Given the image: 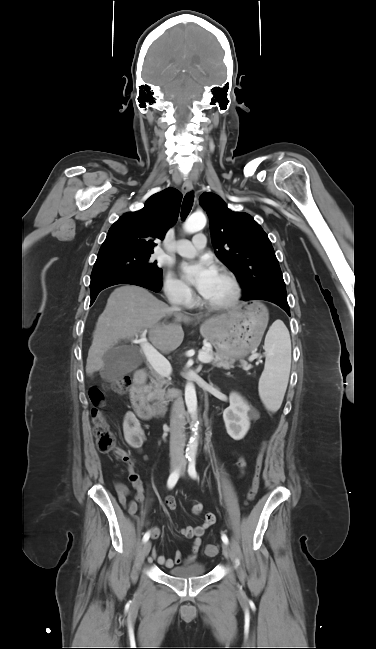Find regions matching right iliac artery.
Wrapping results in <instances>:
<instances>
[{
	"instance_id": "82829eb1",
	"label": "right iliac artery",
	"mask_w": 376,
	"mask_h": 649,
	"mask_svg": "<svg viewBox=\"0 0 376 649\" xmlns=\"http://www.w3.org/2000/svg\"><path fill=\"white\" fill-rule=\"evenodd\" d=\"M178 479H179V469H176L170 474V476L168 478V482H167L168 488H170V489L173 488L175 486V484L177 483ZM149 538H150V533L146 532L144 534V536H143V542L148 541Z\"/></svg>"
}]
</instances>
